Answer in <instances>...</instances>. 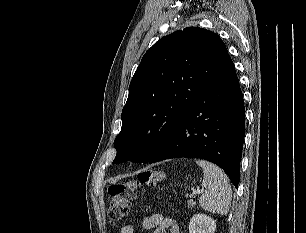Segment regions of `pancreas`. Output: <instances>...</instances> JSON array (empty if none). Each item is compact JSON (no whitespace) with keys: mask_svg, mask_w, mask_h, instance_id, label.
<instances>
[{"mask_svg":"<svg viewBox=\"0 0 306 233\" xmlns=\"http://www.w3.org/2000/svg\"><path fill=\"white\" fill-rule=\"evenodd\" d=\"M194 205H195V202L192 199L188 201L189 208H193Z\"/></svg>","mask_w":306,"mask_h":233,"instance_id":"cf45deb5","label":"pancreas"}]
</instances>
